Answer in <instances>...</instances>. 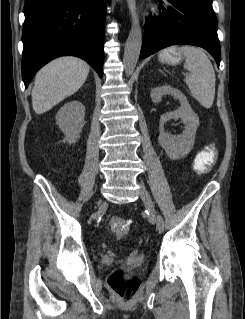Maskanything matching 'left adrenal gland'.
Masks as SVG:
<instances>
[{
  "instance_id": "left-adrenal-gland-1",
  "label": "left adrenal gland",
  "mask_w": 245,
  "mask_h": 319,
  "mask_svg": "<svg viewBox=\"0 0 245 319\" xmlns=\"http://www.w3.org/2000/svg\"><path fill=\"white\" fill-rule=\"evenodd\" d=\"M159 71H160V72H162V73H164V71H163V70H161V69H159ZM165 71H166V70H165ZM164 74H165V73H164Z\"/></svg>"
}]
</instances>
